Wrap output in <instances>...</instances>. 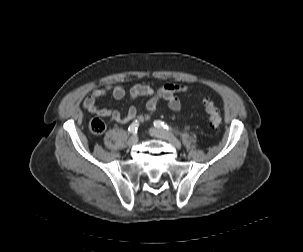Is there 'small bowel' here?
Listing matches in <instances>:
<instances>
[{
	"label": "small bowel",
	"instance_id": "small-bowel-1",
	"mask_svg": "<svg viewBox=\"0 0 303 252\" xmlns=\"http://www.w3.org/2000/svg\"><path fill=\"white\" fill-rule=\"evenodd\" d=\"M187 86L180 83H169L152 88L148 84H136L129 92V99L134 100L139 97L147 98L146 110L147 113L140 115L135 106H131L127 113L122 115L117 110H111L106 108H100L97 105L98 99L105 97L107 94H111L112 97L121 101L126 96L124 87L120 84H106L103 87L95 88L89 96L83 101V107L91 114L110 118L111 120L119 124H128L130 122L143 123L147 121L151 115L155 112L159 101L164 100L167 102L168 107L173 112H180L182 109V103L178 95L187 91Z\"/></svg>",
	"mask_w": 303,
	"mask_h": 252
}]
</instances>
